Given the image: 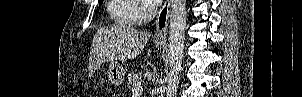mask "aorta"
<instances>
[{"label":"aorta","mask_w":302,"mask_h":97,"mask_svg":"<svg viewBox=\"0 0 302 97\" xmlns=\"http://www.w3.org/2000/svg\"><path fill=\"white\" fill-rule=\"evenodd\" d=\"M186 30V0H172L169 34V74L166 96L174 97L182 69L183 48Z\"/></svg>","instance_id":"1"}]
</instances>
